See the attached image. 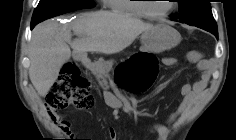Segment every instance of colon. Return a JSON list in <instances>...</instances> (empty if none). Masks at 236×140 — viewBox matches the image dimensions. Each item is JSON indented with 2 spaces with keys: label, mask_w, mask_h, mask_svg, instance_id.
I'll return each instance as SVG.
<instances>
[{
  "label": "colon",
  "mask_w": 236,
  "mask_h": 140,
  "mask_svg": "<svg viewBox=\"0 0 236 140\" xmlns=\"http://www.w3.org/2000/svg\"><path fill=\"white\" fill-rule=\"evenodd\" d=\"M157 60L150 56L138 55L125 60L117 69L116 77L127 91L139 94L153 84L158 73ZM48 110L53 119L59 110L73 105L79 109H90L94 97L89 81L81 74L77 63H66L57 82L48 94Z\"/></svg>",
  "instance_id": "obj_1"
}]
</instances>
